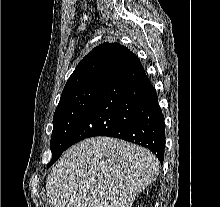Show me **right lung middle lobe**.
I'll return each mask as SVG.
<instances>
[{
  "mask_svg": "<svg viewBox=\"0 0 220 207\" xmlns=\"http://www.w3.org/2000/svg\"><path fill=\"white\" fill-rule=\"evenodd\" d=\"M105 80L92 81L61 95L53 117L52 159L47 167L54 164L69 147L71 136L88 113Z\"/></svg>",
  "mask_w": 220,
  "mask_h": 207,
  "instance_id": "dd1d6c3e",
  "label": "right lung middle lobe"
}]
</instances>
